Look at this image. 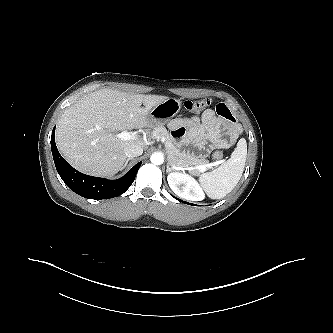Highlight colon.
<instances>
[{
    "instance_id": "1",
    "label": "colon",
    "mask_w": 333,
    "mask_h": 333,
    "mask_svg": "<svg viewBox=\"0 0 333 333\" xmlns=\"http://www.w3.org/2000/svg\"><path fill=\"white\" fill-rule=\"evenodd\" d=\"M210 104L209 99L207 98H200L194 100H187L184 103V108L188 111H201L205 109ZM215 160L220 161L224 157V152L222 150H216L213 154Z\"/></svg>"
}]
</instances>
